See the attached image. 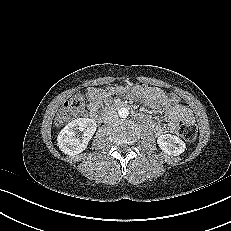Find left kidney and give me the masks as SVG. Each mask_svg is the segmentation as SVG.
I'll use <instances>...</instances> for the list:
<instances>
[{
  "label": "left kidney",
  "mask_w": 231,
  "mask_h": 231,
  "mask_svg": "<svg viewBox=\"0 0 231 231\" xmlns=\"http://www.w3.org/2000/svg\"><path fill=\"white\" fill-rule=\"evenodd\" d=\"M157 144L164 153L174 156L180 155L186 148L184 141L171 134L160 135Z\"/></svg>",
  "instance_id": "1"
}]
</instances>
